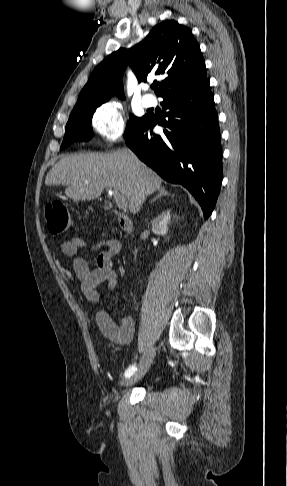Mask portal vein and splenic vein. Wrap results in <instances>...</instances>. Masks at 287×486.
<instances>
[{
  "label": "portal vein and splenic vein",
  "mask_w": 287,
  "mask_h": 486,
  "mask_svg": "<svg viewBox=\"0 0 287 486\" xmlns=\"http://www.w3.org/2000/svg\"><path fill=\"white\" fill-rule=\"evenodd\" d=\"M109 195H113L114 199L119 208H126L127 207V199L122 194L117 191L109 190Z\"/></svg>",
  "instance_id": "portal-vein-and-splenic-vein-1"
}]
</instances>
